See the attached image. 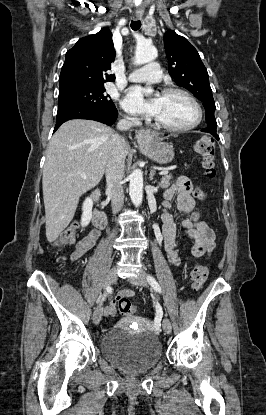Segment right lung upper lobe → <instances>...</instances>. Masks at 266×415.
Masks as SVG:
<instances>
[{
    "label": "right lung upper lobe",
    "mask_w": 266,
    "mask_h": 415,
    "mask_svg": "<svg viewBox=\"0 0 266 415\" xmlns=\"http://www.w3.org/2000/svg\"><path fill=\"white\" fill-rule=\"evenodd\" d=\"M115 58L112 33L102 28L98 33L79 39L67 51L59 77V93L82 87L104 85L115 80L105 73Z\"/></svg>",
    "instance_id": "cb5924a9"
}]
</instances>
